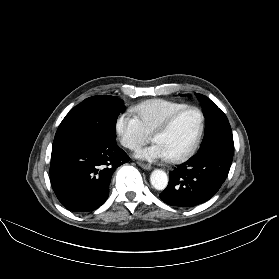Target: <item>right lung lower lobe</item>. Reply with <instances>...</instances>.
<instances>
[{
    "label": "right lung lower lobe",
    "mask_w": 279,
    "mask_h": 279,
    "mask_svg": "<svg viewBox=\"0 0 279 279\" xmlns=\"http://www.w3.org/2000/svg\"><path fill=\"white\" fill-rule=\"evenodd\" d=\"M128 160L115 138H102L77 148L52 150V188L68 210L93 211L106 201L115 169Z\"/></svg>",
    "instance_id": "1"
}]
</instances>
